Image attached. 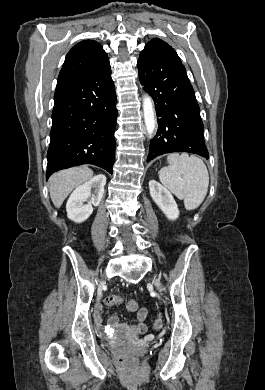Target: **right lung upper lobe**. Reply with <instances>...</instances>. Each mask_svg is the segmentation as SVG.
I'll return each instance as SVG.
<instances>
[{
	"mask_svg": "<svg viewBox=\"0 0 265 390\" xmlns=\"http://www.w3.org/2000/svg\"><path fill=\"white\" fill-rule=\"evenodd\" d=\"M109 62L102 46L93 40L76 44L67 54L59 73L57 85L65 84L86 76Z\"/></svg>",
	"mask_w": 265,
	"mask_h": 390,
	"instance_id": "1",
	"label": "right lung upper lobe"
}]
</instances>
